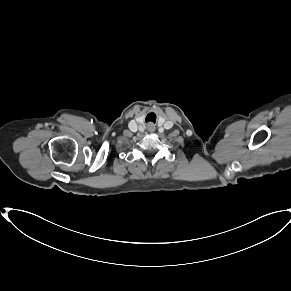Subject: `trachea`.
<instances>
[{"mask_svg":"<svg viewBox=\"0 0 291 291\" xmlns=\"http://www.w3.org/2000/svg\"><path fill=\"white\" fill-rule=\"evenodd\" d=\"M149 116H154V117H155V115H154V114H149L147 117H149Z\"/></svg>","mask_w":291,"mask_h":291,"instance_id":"1","label":"trachea"}]
</instances>
